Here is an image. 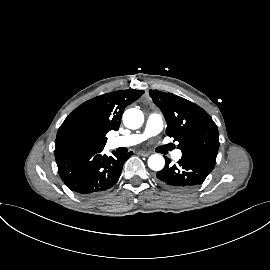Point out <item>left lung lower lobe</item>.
Listing matches in <instances>:
<instances>
[{
    "instance_id": "0a47b994",
    "label": "left lung lower lobe",
    "mask_w": 270,
    "mask_h": 270,
    "mask_svg": "<svg viewBox=\"0 0 270 270\" xmlns=\"http://www.w3.org/2000/svg\"><path fill=\"white\" fill-rule=\"evenodd\" d=\"M165 159V167L156 176L164 186L178 192L189 191L202 184L214 168L190 157L182 156L174 165H170V159Z\"/></svg>"
}]
</instances>
